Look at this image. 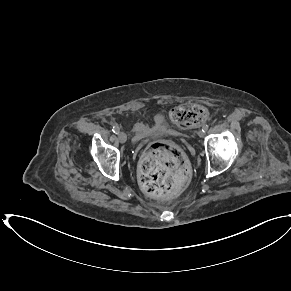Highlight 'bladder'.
<instances>
[{"label": "bladder", "mask_w": 291, "mask_h": 291, "mask_svg": "<svg viewBox=\"0 0 291 291\" xmlns=\"http://www.w3.org/2000/svg\"><path fill=\"white\" fill-rule=\"evenodd\" d=\"M133 131L139 140H143L152 135L170 133L172 129L163 116L156 115L150 124H136Z\"/></svg>", "instance_id": "bladder-1"}]
</instances>
